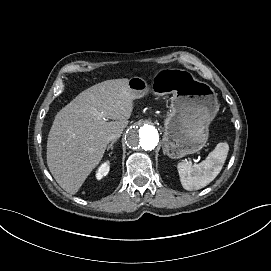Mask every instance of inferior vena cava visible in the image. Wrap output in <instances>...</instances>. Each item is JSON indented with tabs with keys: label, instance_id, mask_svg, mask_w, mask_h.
<instances>
[{
	"label": "inferior vena cava",
	"instance_id": "inferior-vena-cava-1",
	"mask_svg": "<svg viewBox=\"0 0 271 271\" xmlns=\"http://www.w3.org/2000/svg\"><path fill=\"white\" fill-rule=\"evenodd\" d=\"M121 133H112L108 136V141L117 140L120 137Z\"/></svg>",
	"mask_w": 271,
	"mask_h": 271
}]
</instances>
